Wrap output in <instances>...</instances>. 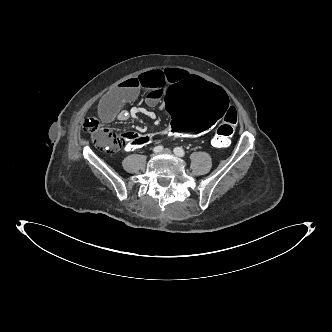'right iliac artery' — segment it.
Here are the masks:
<instances>
[{
  "label": "right iliac artery",
  "mask_w": 332,
  "mask_h": 332,
  "mask_svg": "<svg viewBox=\"0 0 332 332\" xmlns=\"http://www.w3.org/2000/svg\"><path fill=\"white\" fill-rule=\"evenodd\" d=\"M162 150H163V146H162V145H158V146L154 147V149H153V151H154L155 153H159V152H161Z\"/></svg>",
  "instance_id": "right-iliac-artery-1"
}]
</instances>
